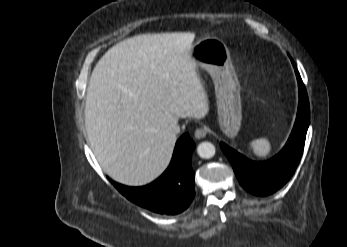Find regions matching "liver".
Listing matches in <instances>:
<instances>
[{"label": "liver", "mask_w": 347, "mask_h": 247, "mask_svg": "<svg viewBox=\"0 0 347 247\" xmlns=\"http://www.w3.org/2000/svg\"><path fill=\"white\" fill-rule=\"evenodd\" d=\"M194 33L128 38L97 62L87 88L85 127L102 169L115 181L143 186L169 165L179 118H203L207 93L190 49Z\"/></svg>", "instance_id": "1"}]
</instances>
